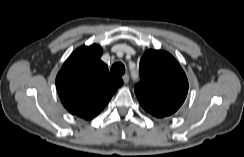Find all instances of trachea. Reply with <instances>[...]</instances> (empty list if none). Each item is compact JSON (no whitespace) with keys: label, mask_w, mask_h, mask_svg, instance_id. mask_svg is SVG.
I'll list each match as a JSON object with an SVG mask.
<instances>
[{"label":"trachea","mask_w":244,"mask_h":157,"mask_svg":"<svg viewBox=\"0 0 244 157\" xmlns=\"http://www.w3.org/2000/svg\"><path fill=\"white\" fill-rule=\"evenodd\" d=\"M111 73L116 76H122L125 73V66L121 62H116L110 69Z\"/></svg>","instance_id":"3493384b"}]
</instances>
